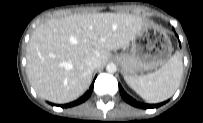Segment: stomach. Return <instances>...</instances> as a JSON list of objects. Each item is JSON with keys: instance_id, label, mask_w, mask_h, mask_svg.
Here are the masks:
<instances>
[{"instance_id": "1", "label": "stomach", "mask_w": 203, "mask_h": 123, "mask_svg": "<svg viewBox=\"0 0 203 123\" xmlns=\"http://www.w3.org/2000/svg\"><path fill=\"white\" fill-rule=\"evenodd\" d=\"M173 51L167 33L145 26L132 38L131 50L116 56L124 76L155 70L167 63Z\"/></svg>"}]
</instances>
